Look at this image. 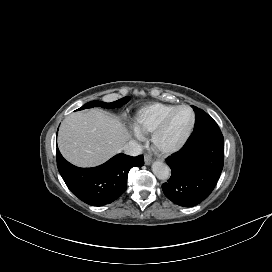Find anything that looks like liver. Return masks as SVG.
Returning <instances> with one entry per match:
<instances>
[{"mask_svg":"<svg viewBox=\"0 0 272 272\" xmlns=\"http://www.w3.org/2000/svg\"><path fill=\"white\" fill-rule=\"evenodd\" d=\"M129 138L130 133L117 117L90 109L64 119L59 129L58 147L72 164L94 167L119 152Z\"/></svg>","mask_w":272,"mask_h":272,"instance_id":"liver-1","label":"liver"}]
</instances>
